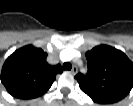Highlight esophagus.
Instances as JSON below:
<instances>
[{
    "mask_svg": "<svg viewBox=\"0 0 133 106\" xmlns=\"http://www.w3.org/2000/svg\"><path fill=\"white\" fill-rule=\"evenodd\" d=\"M70 72H71V74L75 75L78 72V68L76 66H73V68L71 69Z\"/></svg>",
    "mask_w": 133,
    "mask_h": 106,
    "instance_id": "esophagus-1",
    "label": "esophagus"
}]
</instances>
